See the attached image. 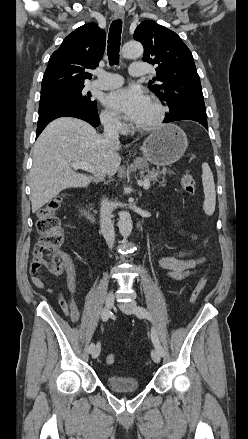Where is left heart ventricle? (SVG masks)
I'll return each mask as SVG.
<instances>
[{"mask_svg":"<svg viewBox=\"0 0 248 439\" xmlns=\"http://www.w3.org/2000/svg\"><path fill=\"white\" fill-rule=\"evenodd\" d=\"M156 109L155 107L149 102L143 115L141 118L136 122L137 125H145L150 123L156 116Z\"/></svg>","mask_w":248,"mask_h":439,"instance_id":"obj_1","label":"left heart ventricle"}]
</instances>
